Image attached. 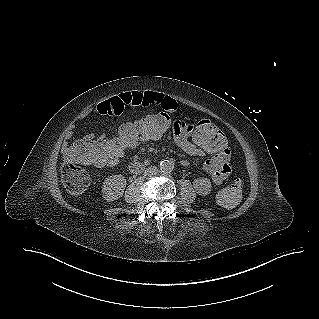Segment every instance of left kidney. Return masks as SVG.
<instances>
[{
	"instance_id": "5707ae66",
	"label": "left kidney",
	"mask_w": 319,
	"mask_h": 319,
	"mask_svg": "<svg viewBox=\"0 0 319 319\" xmlns=\"http://www.w3.org/2000/svg\"><path fill=\"white\" fill-rule=\"evenodd\" d=\"M194 188L199 195H207L211 192V182L207 178H197L194 180Z\"/></svg>"
}]
</instances>
